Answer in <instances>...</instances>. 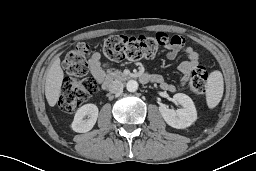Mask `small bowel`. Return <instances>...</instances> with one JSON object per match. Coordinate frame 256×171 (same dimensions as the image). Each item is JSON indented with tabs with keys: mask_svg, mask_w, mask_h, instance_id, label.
<instances>
[{
	"mask_svg": "<svg viewBox=\"0 0 256 171\" xmlns=\"http://www.w3.org/2000/svg\"><path fill=\"white\" fill-rule=\"evenodd\" d=\"M183 51L187 55V60L182 61L178 68L186 77L194 70L199 63V54L190 46H186L185 40L181 36H173L167 45V58L174 60L178 53ZM90 71L97 82H101L105 77L106 64L102 62L100 52H94L88 60ZM152 79L163 89L173 91L174 86L167 82L162 76L153 75Z\"/></svg>",
	"mask_w": 256,
	"mask_h": 171,
	"instance_id": "small-bowel-1",
	"label": "small bowel"
}]
</instances>
